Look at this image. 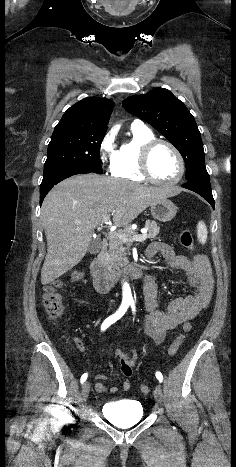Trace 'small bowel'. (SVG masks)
I'll list each match as a JSON object with an SVG mask.
<instances>
[{
    "label": "small bowel",
    "instance_id": "c3829d8e",
    "mask_svg": "<svg viewBox=\"0 0 236 467\" xmlns=\"http://www.w3.org/2000/svg\"><path fill=\"white\" fill-rule=\"evenodd\" d=\"M158 254L163 257L168 267L185 272L194 291L192 294L173 299L167 304L166 311H159L157 310V286L154 278L151 275L146 278L144 284L146 315L142 327L144 333L156 344L161 343L169 331L193 319L206 309L211 302L214 290V278L206 256L202 254L192 257L177 255L166 243L154 241L148 246L145 256L148 260H152ZM77 347L81 351L84 350L81 342L77 343ZM115 358L119 362L121 374L130 377L139 358V352L136 349L128 351L117 349ZM97 379L99 383L96 384L95 389L98 393L118 392L116 386L108 387L103 383L107 379L106 375L99 374ZM121 388L123 391H129L131 382L128 379L123 381Z\"/></svg>",
    "mask_w": 236,
    "mask_h": 467
}]
</instances>
